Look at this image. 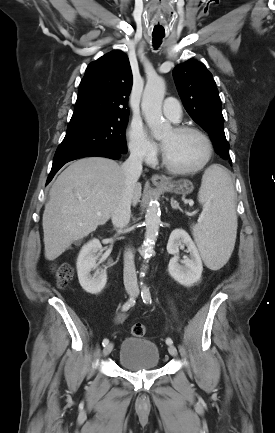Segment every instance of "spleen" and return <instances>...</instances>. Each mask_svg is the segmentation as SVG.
Masks as SVG:
<instances>
[{
    "mask_svg": "<svg viewBox=\"0 0 275 433\" xmlns=\"http://www.w3.org/2000/svg\"><path fill=\"white\" fill-rule=\"evenodd\" d=\"M234 198L228 171L217 164L206 169L198 193L203 220L193 227V236L205 264L212 270L224 266L234 249L237 233Z\"/></svg>",
    "mask_w": 275,
    "mask_h": 433,
    "instance_id": "3e777b00",
    "label": "spleen"
}]
</instances>
